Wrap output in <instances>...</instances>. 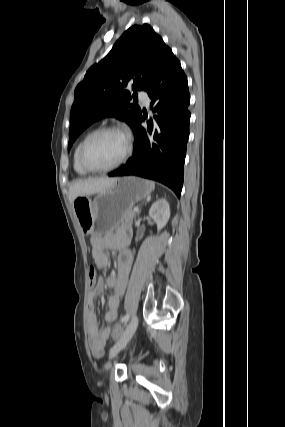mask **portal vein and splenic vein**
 Listing matches in <instances>:
<instances>
[{
  "label": "portal vein and splenic vein",
  "instance_id": "1",
  "mask_svg": "<svg viewBox=\"0 0 285 427\" xmlns=\"http://www.w3.org/2000/svg\"><path fill=\"white\" fill-rule=\"evenodd\" d=\"M134 211H135V212H138V208H135V209H134Z\"/></svg>",
  "mask_w": 285,
  "mask_h": 427
}]
</instances>
